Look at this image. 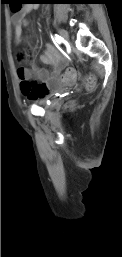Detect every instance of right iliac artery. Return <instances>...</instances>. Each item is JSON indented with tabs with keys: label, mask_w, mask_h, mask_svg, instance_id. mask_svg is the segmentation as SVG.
<instances>
[{
	"label": "right iliac artery",
	"mask_w": 122,
	"mask_h": 257,
	"mask_svg": "<svg viewBox=\"0 0 122 257\" xmlns=\"http://www.w3.org/2000/svg\"><path fill=\"white\" fill-rule=\"evenodd\" d=\"M63 38L58 36V35H55L53 41L55 44H60L62 42Z\"/></svg>",
	"instance_id": "1"
}]
</instances>
